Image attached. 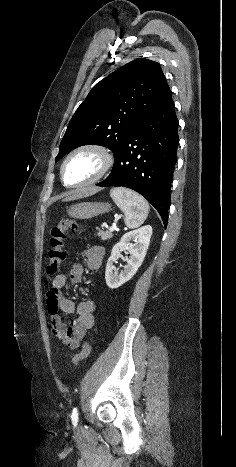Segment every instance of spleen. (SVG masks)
I'll list each match as a JSON object with an SVG mask.
<instances>
[{"label": "spleen", "mask_w": 236, "mask_h": 467, "mask_svg": "<svg viewBox=\"0 0 236 467\" xmlns=\"http://www.w3.org/2000/svg\"><path fill=\"white\" fill-rule=\"evenodd\" d=\"M110 196L124 212V222L128 228H137L144 223L149 213V205L141 195L132 190L118 187L110 190Z\"/></svg>", "instance_id": "spleen-1"}]
</instances>
